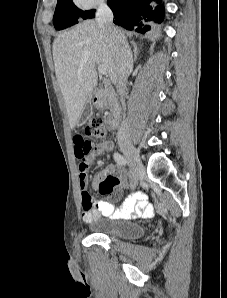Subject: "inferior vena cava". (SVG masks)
<instances>
[{"label":"inferior vena cava","instance_id":"inferior-vena-cava-1","mask_svg":"<svg viewBox=\"0 0 227 298\" xmlns=\"http://www.w3.org/2000/svg\"><path fill=\"white\" fill-rule=\"evenodd\" d=\"M96 23L99 28L106 32L114 45L115 65L117 74V90L120 95L124 94L126 89L127 77L133 69V56L131 49L118 29L113 25V13L107 6L106 2H102L95 15ZM128 137L127 123L125 120L118 129V140H125Z\"/></svg>","mask_w":227,"mask_h":298}]
</instances>
